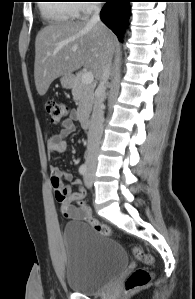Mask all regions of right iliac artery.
Listing matches in <instances>:
<instances>
[{
  "label": "right iliac artery",
  "instance_id": "obj_1",
  "mask_svg": "<svg viewBox=\"0 0 195 299\" xmlns=\"http://www.w3.org/2000/svg\"><path fill=\"white\" fill-rule=\"evenodd\" d=\"M86 172H87V166H86V164H82V165L79 167V173H80L81 175H85Z\"/></svg>",
  "mask_w": 195,
  "mask_h": 299
}]
</instances>
